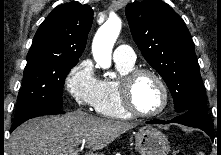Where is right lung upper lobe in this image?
Instances as JSON below:
<instances>
[{"instance_id": "cb5924a9", "label": "right lung upper lobe", "mask_w": 221, "mask_h": 155, "mask_svg": "<svg viewBox=\"0 0 221 155\" xmlns=\"http://www.w3.org/2000/svg\"><path fill=\"white\" fill-rule=\"evenodd\" d=\"M93 21V10L77 2L56 7L41 23L26 59L78 62Z\"/></svg>"}]
</instances>
